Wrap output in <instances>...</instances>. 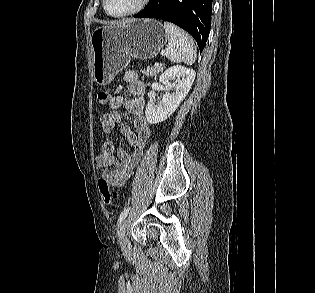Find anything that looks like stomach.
<instances>
[{"label":"stomach","mask_w":315,"mask_h":293,"mask_svg":"<svg viewBox=\"0 0 315 293\" xmlns=\"http://www.w3.org/2000/svg\"><path fill=\"white\" fill-rule=\"evenodd\" d=\"M166 42L165 28L153 19L96 28L90 37L94 81L98 85L109 84L131 58L151 59Z\"/></svg>","instance_id":"0dacf381"}]
</instances>
